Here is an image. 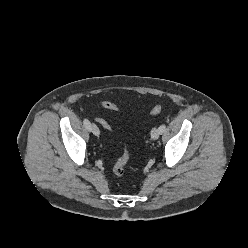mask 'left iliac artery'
Masks as SVG:
<instances>
[{"mask_svg":"<svg viewBox=\"0 0 248 248\" xmlns=\"http://www.w3.org/2000/svg\"><path fill=\"white\" fill-rule=\"evenodd\" d=\"M165 130H166V125H165V124H162V125L159 127L160 134L164 133Z\"/></svg>","mask_w":248,"mask_h":248,"instance_id":"left-iliac-artery-1","label":"left iliac artery"}]
</instances>
